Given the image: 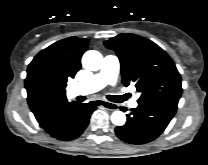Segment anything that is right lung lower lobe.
Masks as SVG:
<instances>
[{"label":"right lung lower lobe","instance_id":"98d812e1","mask_svg":"<svg viewBox=\"0 0 208 165\" xmlns=\"http://www.w3.org/2000/svg\"><path fill=\"white\" fill-rule=\"evenodd\" d=\"M95 109V102H67L37 121L52 137L63 141L72 140L83 133Z\"/></svg>","mask_w":208,"mask_h":165}]
</instances>
